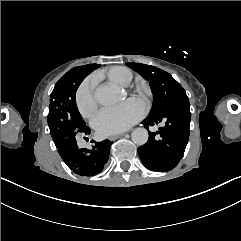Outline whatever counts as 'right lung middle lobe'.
<instances>
[{"mask_svg":"<svg viewBox=\"0 0 241 241\" xmlns=\"http://www.w3.org/2000/svg\"><path fill=\"white\" fill-rule=\"evenodd\" d=\"M100 67L89 64L72 68L55 85L50 98L48 126L51 137L58 148L64 142L76 140V136L89 129L80 115L75 95L86 68L91 71Z\"/></svg>","mask_w":241,"mask_h":241,"instance_id":"obj_1","label":"right lung middle lobe"}]
</instances>
